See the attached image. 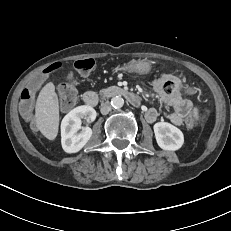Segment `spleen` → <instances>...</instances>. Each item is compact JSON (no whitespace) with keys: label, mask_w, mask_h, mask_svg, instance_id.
<instances>
[{"label":"spleen","mask_w":231,"mask_h":231,"mask_svg":"<svg viewBox=\"0 0 231 231\" xmlns=\"http://www.w3.org/2000/svg\"><path fill=\"white\" fill-rule=\"evenodd\" d=\"M195 115L197 116V112L195 111Z\"/></svg>","instance_id":"obj_1"}]
</instances>
